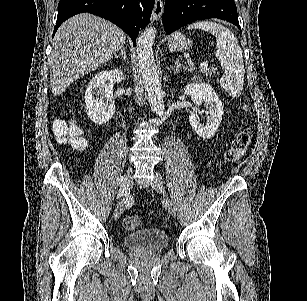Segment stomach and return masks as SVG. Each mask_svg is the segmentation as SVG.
<instances>
[{
  "label": "stomach",
  "instance_id": "stomach-1",
  "mask_svg": "<svg viewBox=\"0 0 307 301\" xmlns=\"http://www.w3.org/2000/svg\"><path fill=\"white\" fill-rule=\"evenodd\" d=\"M192 44V40L187 38L182 32H174L173 36H170L168 40V48L170 50H187Z\"/></svg>",
  "mask_w": 307,
  "mask_h": 301
}]
</instances>
